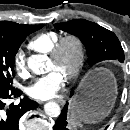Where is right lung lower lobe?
<instances>
[{
    "instance_id": "1",
    "label": "right lung lower lobe",
    "mask_w": 130,
    "mask_h": 130,
    "mask_svg": "<svg viewBox=\"0 0 130 130\" xmlns=\"http://www.w3.org/2000/svg\"><path fill=\"white\" fill-rule=\"evenodd\" d=\"M22 91L0 83V130H19L20 117L27 111L38 107V103L24 97L17 105H7L6 101L13 97H19Z\"/></svg>"
}]
</instances>
